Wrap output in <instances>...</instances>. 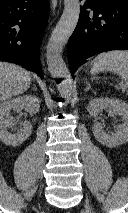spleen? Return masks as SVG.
<instances>
[{"label": "spleen", "mask_w": 128, "mask_h": 213, "mask_svg": "<svg viewBox=\"0 0 128 213\" xmlns=\"http://www.w3.org/2000/svg\"><path fill=\"white\" fill-rule=\"evenodd\" d=\"M112 72L120 75L128 85V51H110L99 54L92 62L90 73Z\"/></svg>", "instance_id": "obj_1"}]
</instances>
